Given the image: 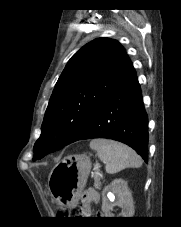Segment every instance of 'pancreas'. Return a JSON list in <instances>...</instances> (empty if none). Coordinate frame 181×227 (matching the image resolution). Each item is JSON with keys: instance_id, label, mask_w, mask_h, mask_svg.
Here are the masks:
<instances>
[{"instance_id": "1", "label": "pancreas", "mask_w": 181, "mask_h": 227, "mask_svg": "<svg viewBox=\"0 0 181 227\" xmlns=\"http://www.w3.org/2000/svg\"><path fill=\"white\" fill-rule=\"evenodd\" d=\"M94 180H95V182H94V187H95L96 189H100V186H101L100 176H99V175H95V176H94Z\"/></svg>"}]
</instances>
